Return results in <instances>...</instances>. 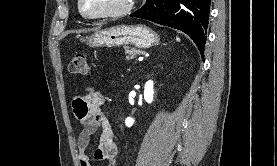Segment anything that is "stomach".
<instances>
[{
    "label": "stomach",
    "mask_w": 277,
    "mask_h": 166,
    "mask_svg": "<svg viewBox=\"0 0 277 166\" xmlns=\"http://www.w3.org/2000/svg\"><path fill=\"white\" fill-rule=\"evenodd\" d=\"M159 41V35L145 25H117L95 32L88 38L87 44L91 47L132 44L138 48H149Z\"/></svg>",
    "instance_id": "obj_1"
}]
</instances>
